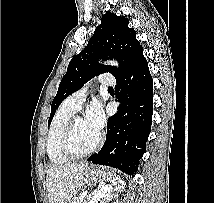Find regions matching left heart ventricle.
<instances>
[{
	"instance_id": "b2bd125f",
	"label": "left heart ventricle",
	"mask_w": 214,
	"mask_h": 203,
	"mask_svg": "<svg viewBox=\"0 0 214 203\" xmlns=\"http://www.w3.org/2000/svg\"><path fill=\"white\" fill-rule=\"evenodd\" d=\"M99 132L92 128L85 118L80 117L75 126L73 146L77 151H86L96 142Z\"/></svg>"
}]
</instances>
